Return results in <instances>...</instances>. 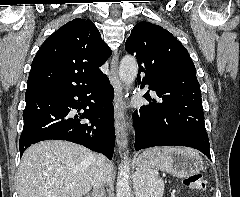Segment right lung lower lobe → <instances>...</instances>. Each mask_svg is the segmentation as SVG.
Instances as JSON below:
<instances>
[{"label": "right lung lower lobe", "mask_w": 240, "mask_h": 197, "mask_svg": "<svg viewBox=\"0 0 240 197\" xmlns=\"http://www.w3.org/2000/svg\"><path fill=\"white\" fill-rule=\"evenodd\" d=\"M114 90L105 76L82 87H54L26 96L24 127L19 140L20 157L30 145L49 139L67 140L103 153L112 159ZM72 110H84L80 118Z\"/></svg>", "instance_id": "obj_1"}]
</instances>
